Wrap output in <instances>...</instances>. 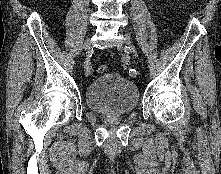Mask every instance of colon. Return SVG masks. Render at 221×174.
Listing matches in <instances>:
<instances>
[{"label":"colon","mask_w":221,"mask_h":174,"mask_svg":"<svg viewBox=\"0 0 221 174\" xmlns=\"http://www.w3.org/2000/svg\"><path fill=\"white\" fill-rule=\"evenodd\" d=\"M106 70H107V67H106L105 65H100V66H98V68H97V72L100 73V74L105 73Z\"/></svg>","instance_id":"obj_1"}]
</instances>
